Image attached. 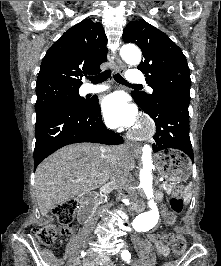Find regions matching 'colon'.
Wrapping results in <instances>:
<instances>
[{
    "label": "colon",
    "mask_w": 221,
    "mask_h": 266,
    "mask_svg": "<svg viewBox=\"0 0 221 266\" xmlns=\"http://www.w3.org/2000/svg\"><path fill=\"white\" fill-rule=\"evenodd\" d=\"M181 187H178L174 195L169 200L170 211L165 212L163 221L166 226H171L176 216L183 211L184 201L181 194ZM75 200H67L54 207L52 210L53 216L56 218L59 228L54 226L36 227L33 229V234L45 246H51L55 243L58 235H68L73 231L72 220L76 210ZM168 234L161 233L159 240L162 244L167 243ZM172 248L175 255H181L186 250V240L182 235H176L172 241Z\"/></svg>",
    "instance_id": "obj_1"
}]
</instances>
